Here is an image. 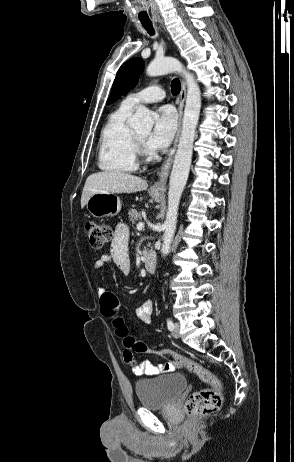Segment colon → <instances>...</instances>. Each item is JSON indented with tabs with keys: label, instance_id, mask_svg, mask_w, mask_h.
I'll return each mask as SVG.
<instances>
[{
	"label": "colon",
	"instance_id": "1",
	"mask_svg": "<svg viewBox=\"0 0 294 462\" xmlns=\"http://www.w3.org/2000/svg\"><path fill=\"white\" fill-rule=\"evenodd\" d=\"M84 231L90 246L95 250L104 248L112 238L111 228L105 223L88 221L84 225ZM100 308L102 315L112 321L117 335L123 341V357L126 363L132 365L137 363L133 352L167 357L173 364L193 372L208 385V388L192 393L187 399L185 409L189 415H209L221 408L223 402L221 382L214 373L191 359L179 356L168 350L150 347L132 338L120 316V303L114 292L107 290L101 295Z\"/></svg>",
	"mask_w": 294,
	"mask_h": 462
}]
</instances>
